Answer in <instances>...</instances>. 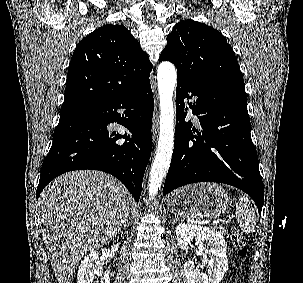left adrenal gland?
Returning <instances> with one entry per match:
<instances>
[{
	"label": "left adrenal gland",
	"mask_w": 303,
	"mask_h": 283,
	"mask_svg": "<svg viewBox=\"0 0 303 283\" xmlns=\"http://www.w3.org/2000/svg\"><path fill=\"white\" fill-rule=\"evenodd\" d=\"M178 221V218L175 217V219L173 220V223L177 222Z\"/></svg>",
	"instance_id": "1"
}]
</instances>
